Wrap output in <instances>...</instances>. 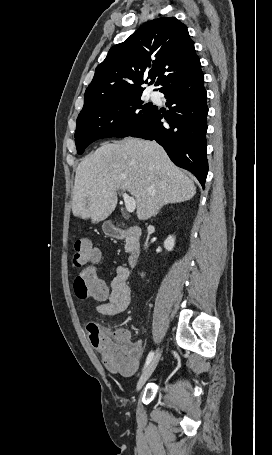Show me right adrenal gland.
<instances>
[{"mask_svg": "<svg viewBox=\"0 0 272 455\" xmlns=\"http://www.w3.org/2000/svg\"><path fill=\"white\" fill-rule=\"evenodd\" d=\"M158 213V211L154 214V216Z\"/></svg>", "mask_w": 272, "mask_h": 455, "instance_id": "1", "label": "right adrenal gland"}]
</instances>
